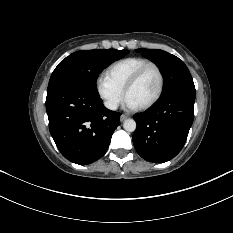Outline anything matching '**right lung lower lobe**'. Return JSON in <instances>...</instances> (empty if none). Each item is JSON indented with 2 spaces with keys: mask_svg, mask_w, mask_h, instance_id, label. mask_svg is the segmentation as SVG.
Returning <instances> with one entry per match:
<instances>
[{
  "mask_svg": "<svg viewBox=\"0 0 233 233\" xmlns=\"http://www.w3.org/2000/svg\"><path fill=\"white\" fill-rule=\"evenodd\" d=\"M46 110L49 130L61 154L87 165L107 151L120 124V113L108 110L99 94L74 86L48 88Z\"/></svg>",
  "mask_w": 233,
  "mask_h": 233,
  "instance_id": "right-lung-lower-lobe-1",
  "label": "right lung lower lobe"
}]
</instances>
